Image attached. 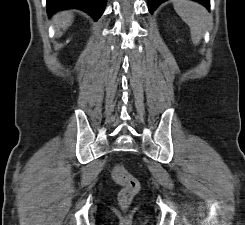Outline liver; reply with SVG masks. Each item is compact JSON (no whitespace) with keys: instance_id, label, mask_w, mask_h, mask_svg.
I'll list each match as a JSON object with an SVG mask.
<instances>
[{"instance_id":"obj_1","label":"liver","mask_w":245,"mask_h":225,"mask_svg":"<svg viewBox=\"0 0 245 225\" xmlns=\"http://www.w3.org/2000/svg\"><path fill=\"white\" fill-rule=\"evenodd\" d=\"M73 21V15L70 12H61L54 16L53 23L57 29H67Z\"/></svg>"}]
</instances>
